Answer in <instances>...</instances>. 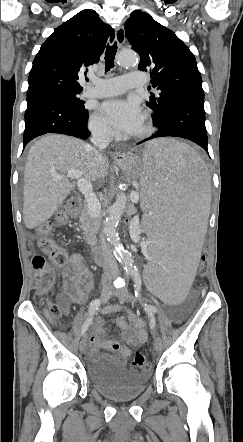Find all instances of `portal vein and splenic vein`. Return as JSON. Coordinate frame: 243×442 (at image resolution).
Wrapping results in <instances>:
<instances>
[{
  "mask_svg": "<svg viewBox=\"0 0 243 442\" xmlns=\"http://www.w3.org/2000/svg\"><path fill=\"white\" fill-rule=\"evenodd\" d=\"M63 175H55L53 178L55 180H60ZM66 177L77 180V186L79 191L85 196L87 203V208L91 216L97 217L100 213L101 205L96 199L90 181L82 177V173L79 170H70L67 172ZM131 196L138 201L139 194L135 191L131 193Z\"/></svg>",
  "mask_w": 243,
  "mask_h": 442,
  "instance_id": "18ae733b",
  "label": "portal vein and splenic vein"
}]
</instances>
